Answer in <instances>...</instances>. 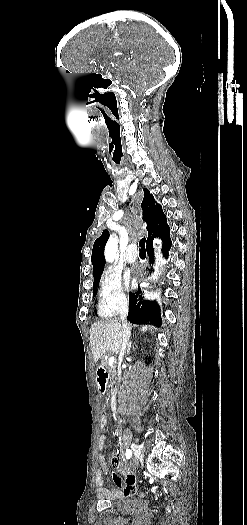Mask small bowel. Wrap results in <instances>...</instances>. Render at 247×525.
I'll list each match as a JSON object with an SVG mask.
<instances>
[{
    "mask_svg": "<svg viewBox=\"0 0 247 525\" xmlns=\"http://www.w3.org/2000/svg\"><path fill=\"white\" fill-rule=\"evenodd\" d=\"M106 436L103 434L99 438L98 443V455L97 459L99 462V468L96 470V477H95V485L97 487V490L101 494H107L110 498H121L123 497V492L127 490L128 493L133 494L137 490L138 481L136 474L134 473H127L125 475V480L120 478L118 474H114L112 476V479L115 481L114 485L118 490H116L113 487H110L106 489L104 487L105 484V476L109 473V468L106 462V458L104 455V445H105ZM123 459L120 455L114 454L112 456V467L114 469H120L122 467ZM129 482V484H128ZM127 486V487H126Z\"/></svg>",
    "mask_w": 247,
    "mask_h": 525,
    "instance_id": "c3829d8e",
    "label": "small bowel"
}]
</instances>
